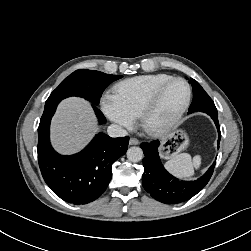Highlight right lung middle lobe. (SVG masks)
Here are the masks:
<instances>
[{
    "label": "right lung middle lobe",
    "instance_id": "right-lung-middle-lobe-1",
    "mask_svg": "<svg viewBox=\"0 0 251 251\" xmlns=\"http://www.w3.org/2000/svg\"><path fill=\"white\" fill-rule=\"evenodd\" d=\"M122 78L94 70H76L65 78L51 93L45 105L60 102L70 96L82 97L98 105L105 88L113 81Z\"/></svg>",
    "mask_w": 251,
    "mask_h": 251
}]
</instances>
